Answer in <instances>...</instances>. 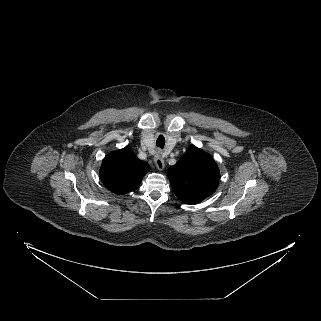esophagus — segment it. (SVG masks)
<instances>
[{
  "instance_id": "obj_1",
  "label": "esophagus",
  "mask_w": 321,
  "mask_h": 321,
  "mask_svg": "<svg viewBox=\"0 0 321 321\" xmlns=\"http://www.w3.org/2000/svg\"><path fill=\"white\" fill-rule=\"evenodd\" d=\"M154 162H155V165H156L158 170H163L164 169L165 163H164L163 158L160 155V152H158V154L155 155Z\"/></svg>"
}]
</instances>
